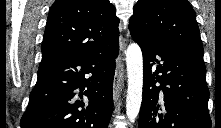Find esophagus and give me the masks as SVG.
I'll return each instance as SVG.
<instances>
[{"label": "esophagus", "instance_id": "esophagus-1", "mask_svg": "<svg viewBox=\"0 0 221 128\" xmlns=\"http://www.w3.org/2000/svg\"><path fill=\"white\" fill-rule=\"evenodd\" d=\"M124 82V65L121 58H118L116 63L115 76L113 81V100L114 103L118 102Z\"/></svg>", "mask_w": 221, "mask_h": 128}]
</instances>
